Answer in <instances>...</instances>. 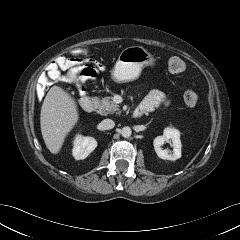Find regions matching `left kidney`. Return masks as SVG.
Masks as SVG:
<instances>
[{
  "instance_id": "1",
  "label": "left kidney",
  "mask_w": 240,
  "mask_h": 240,
  "mask_svg": "<svg viewBox=\"0 0 240 240\" xmlns=\"http://www.w3.org/2000/svg\"><path fill=\"white\" fill-rule=\"evenodd\" d=\"M172 142L173 153H169L167 149H162L165 142ZM154 149L159 158L164 160H177L181 157V140L180 132L171 127H167L163 131L162 136H157L153 141Z\"/></svg>"
}]
</instances>
